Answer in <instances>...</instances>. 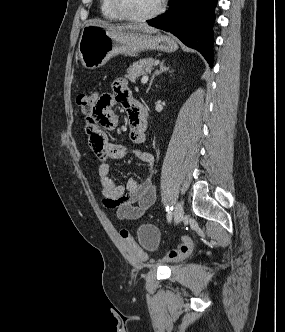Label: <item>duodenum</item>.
I'll use <instances>...</instances> for the list:
<instances>
[{
    "label": "duodenum",
    "mask_w": 285,
    "mask_h": 332,
    "mask_svg": "<svg viewBox=\"0 0 285 332\" xmlns=\"http://www.w3.org/2000/svg\"><path fill=\"white\" fill-rule=\"evenodd\" d=\"M143 116L146 119V112H145L144 108H143Z\"/></svg>",
    "instance_id": "410a0bca"
}]
</instances>
